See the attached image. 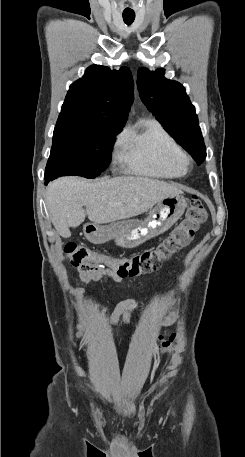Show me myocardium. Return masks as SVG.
I'll list each match as a JSON object with an SVG mask.
<instances>
[{"mask_svg": "<svg viewBox=\"0 0 245 457\" xmlns=\"http://www.w3.org/2000/svg\"><path fill=\"white\" fill-rule=\"evenodd\" d=\"M181 158H182L184 163H188L189 159L185 154H181Z\"/></svg>", "mask_w": 245, "mask_h": 457, "instance_id": "obj_1", "label": "myocardium"}]
</instances>
